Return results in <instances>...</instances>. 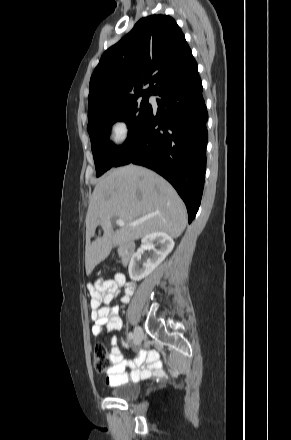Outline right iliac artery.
I'll return each instance as SVG.
<instances>
[{
	"mask_svg": "<svg viewBox=\"0 0 291 440\" xmlns=\"http://www.w3.org/2000/svg\"><path fill=\"white\" fill-rule=\"evenodd\" d=\"M133 333L132 332H130L129 334H128V338L131 340V339H133Z\"/></svg>",
	"mask_w": 291,
	"mask_h": 440,
	"instance_id": "1",
	"label": "right iliac artery"
}]
</instances>
